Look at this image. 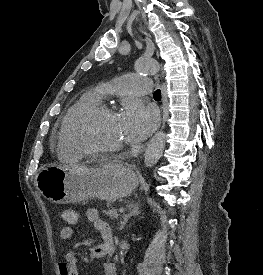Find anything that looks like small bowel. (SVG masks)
Masks as SVG:
<instances>
[{"mask_svg":"<svg viewBox=\"0 0 263 275\" xmlns=\"http://www.w3.org/2000/svg\"><path fill=\"white\" fill-rule=\"evenodd\" d=\"M86 218L91 222L102 238V242L96 245L91 251L93 259L109 258L114 252V242L112 229L110 225L104 221L95 208H90L86 211ZM75 225H67L60 231V237L63 240H69L75 233ZM104 275H117V268L115 263L107 261L103 265ZM59 270L61 275H79L78 272V255L76 250H69L63 261L59 263Z\"/></svg>","mask_w":263,"mask_h":275,"instance_id":"c3829d8e","label":"small bowel"}]
</instances>
